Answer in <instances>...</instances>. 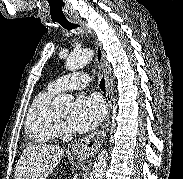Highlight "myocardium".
Segmentation results:
<instances>
[{"instance_id":"f54148a6","label":"myocardium","mask_w":183,"mask_h":179,"mask_svg":"<svg viewBox=\"0 0 183 179\" xmlns=\"http://www.w3.org/2000/svg\"><path fill=\"white\" fill-rule=\"evenodd\" d=\"M58 120H61V117L58 116Z\"/></svg>"}]
</instances>
